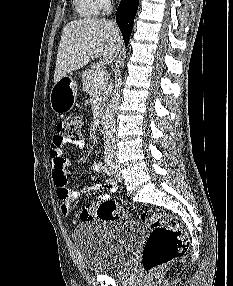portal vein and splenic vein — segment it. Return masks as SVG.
<instances>
[{"label": "portal vein and splenic vein", "mask_w": 233, "mask_h": 286, "mask_svg": "<svg viewBox=\"0 0 233 286\" xmlns=\"http://www.w3.org/2000/svg\"><path fill=\"white\" fill-rule=\"evenodd\" d=\"M106 77V72L103 69H98L97 74L95 76V82H102Z\"/></svg>", "instance_id": "obj_1"}]
</instances>
